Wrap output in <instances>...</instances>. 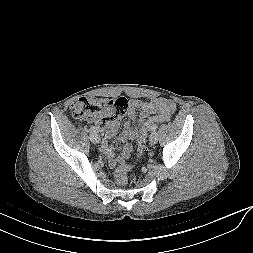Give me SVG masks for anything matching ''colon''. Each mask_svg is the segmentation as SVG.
I'll use <instances>...</instances> for the list:
<instances>
[{"label":"colon","instance_id":"colon-1","mask_svg":"<svg viewBox=\"0 0 253 253\" xmlns=\"http://www.w3.org/2000/svg\"><path fill=\"white\" fill-rule=\"evenodd\" d=\"M71 113L79 119L95 120L98 127L109 131L114 124L127 112L128 101L124 97L117 99L81 97L71 105ZM152 120L139 132L136 156L140 158L146 151V142L150 126L155 123ZM133 166L122 164L115 170L116 182L124 186L128 182V175Z\"/></svg>","mask_w":253,"mask_h":253}]
</instances>
